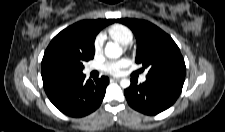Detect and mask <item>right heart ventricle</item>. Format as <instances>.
Here are the masks:
<instances>
[{
	"instance_id": "e07e8e85",
	"label": "right heart ventricle",
	"mask_w": 225,
	"mask_h": 132,
	"mask_svg": "<svg viewBox=\"0 0 225 132\" xmlns=\"http://www.w3.org/2000/svg\"><path fill=\"white\" fill-rule=\"evenodd\" d=\"M108 36L122 45H128L133 40L132 30L122 24H113L107 30Z\"/></svg>"
}]
</instances>
